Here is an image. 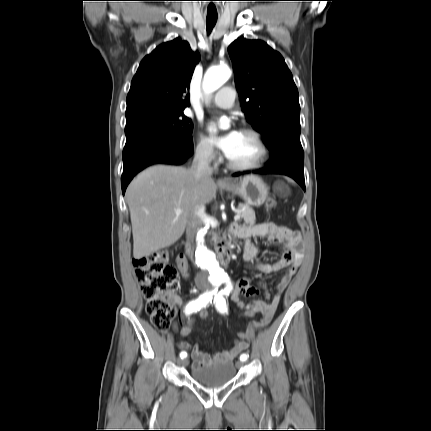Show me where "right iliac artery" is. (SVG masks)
<instances>
[{
  "label": "right iliac artery",
  "instance_id": "right-iliac-artery-1",
  "mask_svg": "<svg viewBox=\"0 0 431 431\" xmlns=\"http://www.w3.org/2000/svg\"><path fill=\"white\" fill-rule=\"evenodd\" d=\"M214 293H215L214 291L205 292L201 294L197 299L190 301L185 307V313L187 315H190L194 312L199 311L201 308L205 307L208 303H211L212 296ZM186 356H187V353L185 352L180 353L181 359L186 358Z\"/></svg>",
  "mask_w": 431,
  "mask_h": 431
}]
</instances>
